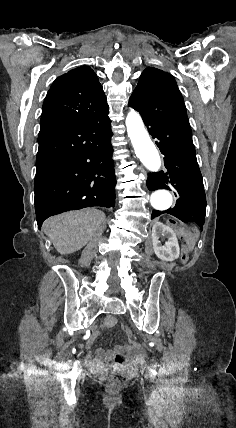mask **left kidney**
<instances>
[{"mask_svg": "<svg viewBox=\"0 0 236 428\" xmlns=\"http://www.w3.org/2000/svg\"><path fill=\"white\" fill-rule=\"evenodd\" d=\"M159 238H167L164 246L159 242ZM153 250L160 260L164 262H173L177 260L180 254V248L176 234L169 226H164L161 222L154 224L152 228Z\"/></svg>", "mask_w": 236, "mask_h": 428, "instance_id": "5707ae66", "label": "left kidney"}]
</instances>
